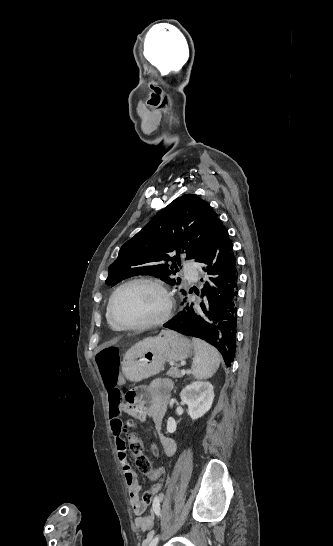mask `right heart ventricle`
I'll return each instance as SVG.
<instances>
[{
    "instance_id": "e07e8e85",
    "label": "right heart ventricle",
    "mask_w": 333,
    "mask_h": 546,
    "mask_svg": "<svg viewBox=\"0 0 333 546\" xmlns=\"http://www.w3.org/2000/svg\"><path fill=\"white\" fill-rule=\"evenodd\" d=\"M106 318H107V323L109 325V327L113 330V331H118V329L112 324V322L110 321V318H109V315H108V305H107V309H106Z\"/></svg>"
}]
</instances>
